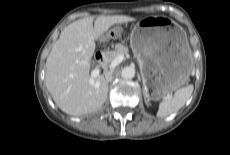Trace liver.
Wrapping results in <instances>:
<instances>
[{
    "label": "liver",
    "mask_w": 230,
    "mask_h": 155,
    "mask_svg": "<svg viewBox=\"0 0 230 155\" xmlns=\"http://www.w3.org/2000/svg\"><path fill=\"white\" fill-rule=\"evenodd\" d=\"M125 15L86 17L65 27L46 60V87L65 113L80 116L96 112L104 104L108 82L104 75L90 76L95 42L113 25L134 21Z\"/></svg>",
    "instance_id": "6515ba94"
}]
</instances>
